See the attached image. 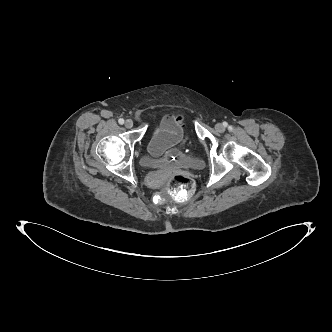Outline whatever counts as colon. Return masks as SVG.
Masks as SVG:
<instances>
[{
  "label": "colon",
  "instance_id": "colon-1",
  "mask_svg": "<svg viewBox=\"0 0 332 332\" xmlns=\"http://www.w3.org/2000/svg\"><path fill=\"white\" fill-rule=\"evenodd\" d=\"M188 157L197 159L199 157V145L196 140H189L186 145ZM196 185L193 178L186 174H174L169 176L164 183V190L167 194L176 199L187 200L195 193Z\"/></svg>",
  "mask_w": 332,
  "mask_h": 332
}]
</instances>
